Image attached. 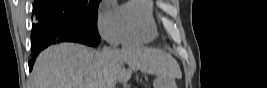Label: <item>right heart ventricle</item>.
Wrapping results in <instances>:
<instances>
[{
    "label": "right heart ventricle",
    "instance_id": "e07e8e85",
    "mask_svg": "<svg viewBox=\"0 0 267 88\" xmlns=\"http://www.w3.org/2000/svg\"><path fill=\"white\" fill-rule=\"evenodd\" d=\"M123 45H144L152 42L158 35L153 15V2L131 0L121 7Z\"/></svg>",
    "mask_w": 267,
    "mask_h": 88
}]
</instances>
